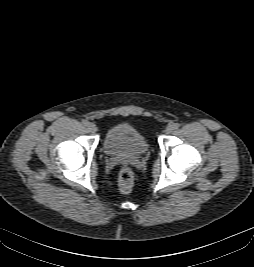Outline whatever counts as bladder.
<instances>
[{
    "mask_svg": "<svg viewBox=\"0 0 254 267\" xmlns=\"http://www.w3.org/2000/svg\"><path fill=\"white\" fill-rule=\"evenodd\" d=\"M104 152L114 156H140L147 152L144 135L129 123L110 127L103 140Z\"/></svg>",
    "mask_w": 254,
    "mask_h": 267,
    "instance_id": "obj_1",
    "label": "bladder"
}]
</instances>
